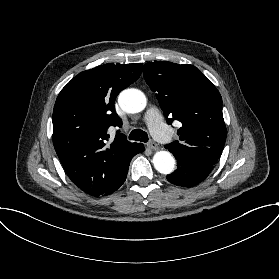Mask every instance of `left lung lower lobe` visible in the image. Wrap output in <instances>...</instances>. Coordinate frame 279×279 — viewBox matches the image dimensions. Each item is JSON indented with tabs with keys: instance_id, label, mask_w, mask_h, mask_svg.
<instances>
[{
	"instance_id": "1",
	"label": "left lung lower lobe",
	"mask_w": 279,
	"mask_h": 279,
	"mask_svg": "<svg viewBox=\"0 0 279 279\" xmlns=\"http://www.w3.org/2000/svg\"><path fill=\"white\" fill-rule=\"evenodd\" d=\"M171 152V151H170ZM177 159V170L167 180L178 186L191 187L202 182L212 171L213 165L171 152Z\"/></svg>"
}]
</instances>
